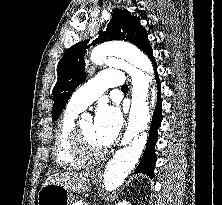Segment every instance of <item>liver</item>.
Returning <instances> with one entry per match:
<instances>
[{"label": "liver", "instance_id": "obj_1", "mask_svg": "<svg viewBox=\"0 0 222 205\" xmlns=\"http://www.w3.org/2000/svg\"><path fill=\"white\" fill-rule=\"evenodd\" d=\"M92 172H65L49 176L45 184H57L68 191L82 193L89 189Z\"/></svg>", "mask_w": 222, "mask_h": 205}]
</instances>
